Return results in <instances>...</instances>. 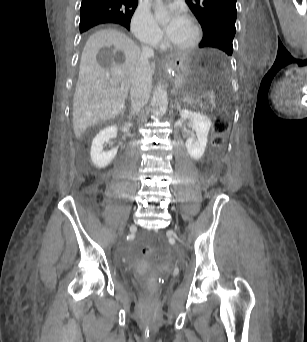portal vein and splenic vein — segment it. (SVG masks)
<instances>
[{
    "mask_svg": "<svg viewBox=\"0 0 307 342\" xmlns=\"http://www.w3.org/2000/svg\"><path fill=\"white\" fill-rule=\"evenodd\" d=\"M196 104H197L198 106H200L202 103H201V102H199V103L197 102ZM188 107L190 108L191 106L189 105Z\"/></svg>",
    "mask_w": 307,
    "mask_h": 342,
    "instance_id": "portal-vein-and-splenic-vein-1",
    "label": "portal vein and splenic vein"
}]
</instances>
